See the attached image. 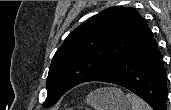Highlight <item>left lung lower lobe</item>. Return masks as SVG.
Returning a JSON list of instances; mask_svg holds the SVG:
<instances>
[{
    "label": "left lung lower lobe",
    "instance_id": "1",
    "mask_svg": "<svg viewBox=\"0 0 171 110\" xmlns=\"http://www.w3.org/2000/svg\"><path fill=\"white\" fill-rule=\"evenodd\" d=\"M94 81L123 86L154 110H167V75L151 30L116 66Z\"/></svg>",
    "mask_w": 171,
    "mask_h": 110
}]
</instances>
